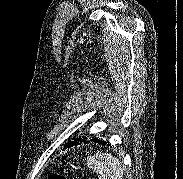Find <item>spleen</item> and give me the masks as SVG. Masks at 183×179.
<instances>
[{
  "label": "spleen",
  "mask_w": 183,
  "mask_h": 179,
  "mask_svg": "<svg viewBox=\"0 0 183 179\" xmlns=\"http://www.w3.org/2000/svg\"><path fill=\"white\" fill-rule=\"evenodd\" d=\"M87 166L99 179H122L125 167L112 154L97 153L87 158Z\"/></svg>",
  "instance_id": "3e777b00"
}]
</instances>
